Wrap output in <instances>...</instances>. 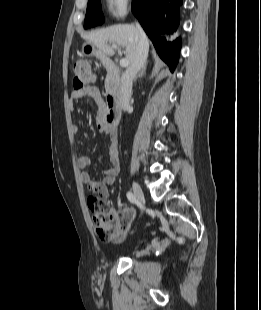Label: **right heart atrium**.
Segmentation results:
<instances>
[{
    "label": "right heart atrium",
    "mask_w": 261,
    "mask_h": 310,
    "mask_svg": "<svg viewBox=\"0 0 261 310\" xmlns=\"http://www.w3.org/2000/svg\"><path fill=\"white\" fill-rule=\"evenodd\" d=\"M132 0H106L107 10L114 19H122L127 14Z\"/></svg>",
    "instance_id": "1"
}]
</instances>
